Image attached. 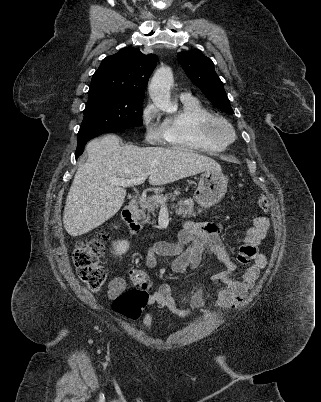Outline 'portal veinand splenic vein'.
<instances>
[{"label": "portal vein and splenic vein", "instance_id": "obj_1", "mask_svg": "<svg viewBox=\"0 0 321 402\" xmlns=\"http://www.w3.org/2000/svg\"><path fill=\"white\" fill-rule=\"evenodd\" d=\"M149 173H143L139 175L138 177L132 178V179H112L111 183L113 185H118V186H123V187H129L133 185H140L142 184L146 178L148 177ZM161 206L165 207L166 206V200H160Z\"/></svg>", "mask_w": 321, "mask_h": 402}]
</instances>
